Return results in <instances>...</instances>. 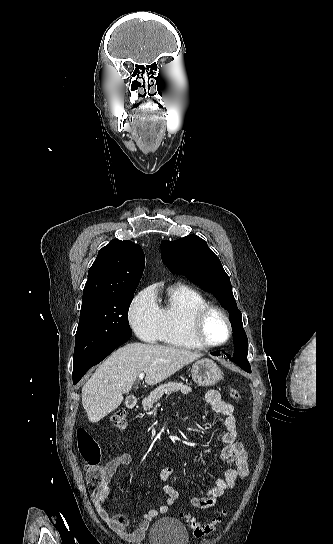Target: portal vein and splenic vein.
<instances>
[{
	"instance_id": "1",
	"label": "portal vein and splenic vein",
	"mask_w": 333,
	"mask_h": 544,
	"mask_svg": "<svg viewBox=\"0 0 333 544\" xmlns=\"http://www.w3.org/2000/svg\"><path fill=\"white\" fill-rule=\"evenodd\" d=\"M143 378H144V373L142 372L139 374V379L142 380Z\"/></svg>"
}]
</instances>
